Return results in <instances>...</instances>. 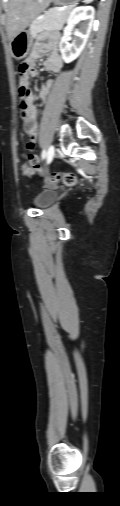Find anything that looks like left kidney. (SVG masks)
Returning <instances> with one entry per match:
<instances>
[{
  "label": "left kidney",
  "mask_w": 120,
  "mask_h": 506,
  "mask_svg": "<svg viewBox=\"0 0 120 506\" xmlns=\"http://www.w3.org/2000/svg\"><path fill=\"white\" fill-rule=\"evenodd\" d=\"M94 13V8L91 6L76 7L70 13L67 19V26L64 28L63 36L59 43V49L65 63L72 62L83 51L92 30ZM80 20L83 22L80 28L74 31V38L70 44L68 38L75 23Z\"/></svg>",
  "instance_id": "5707ae66"
}]
</instances>
